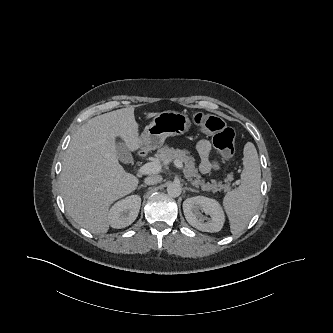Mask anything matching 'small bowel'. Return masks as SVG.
Listing matches in <instances>:
<instances>
[{"label":"small bowel","instance_id":"obj_1","mask_svg":"<svg viewBox=\"0 0 333 333\" xmlns=\"http://www.w3.org/2000/svg\"><path fill=\"white\" fill-rule=\"evenodd\" d=\"M196 148L200 159L199 169L201 173L207 174L218 168V163L209 159L211 144L207 139L200 140Z\"/></svg>","mask_w":333,"mask_h":333}]
</instances>
